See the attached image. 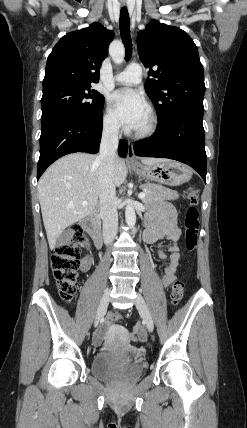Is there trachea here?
<instances>
[{"label":"trachea","mask_w":247,"mask_h":428,"mask_svg":"<svg viewBox=\"0 0 247 428\" xmlns=\"http://www.w3.org/2000/svg\"><path fill=\"white\" fill-rule=\"evenodd\" d=\"M119 27L121 39L125 46V59H129L132 55V40L130 36L129 13L125 6L120 10Z\"/></svg>","instance_id":"trachea-1"}]
</instances>
